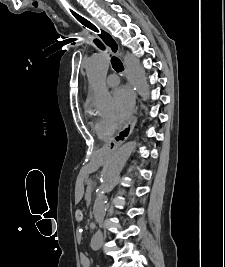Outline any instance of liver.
I'll return each mask as SVG.
<instances>
[{"mask_svg": "<svg viewBox=\"0 0 225 267\" xmlns=\"http://www.w3.org/2000/svg\"><path fill=\"white\" fill-rule=\"evenodd\" d=\"M103 163V157L100 151H96L93 153L91 157L90 164L84 169L85 172H93L99 168V166ZM83 195L82 186L78 185L76 189V202H79Z\"/></svg>", "mask_w": 225, "mask_h": 267, "instance_id": "obj_1", "label": "liver"}]
</instances>
